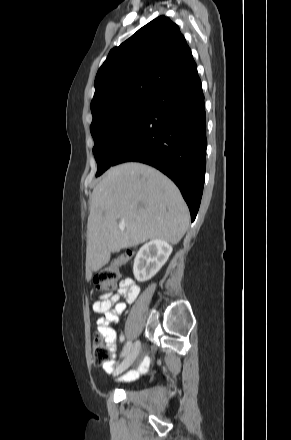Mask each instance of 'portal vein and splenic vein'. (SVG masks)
I'll use <instances>...</instances> for the list:
<instances>
[{
    "label": "portal vein and splenic vein",
    "mask_w": 291,
    "mask_h": 440,
    "mask_svg": "<svg viewBox=\"0 0 291 440\" xmlns=\"http://www.w3.org/2000/svg\"><path fill=\"white\" fill-rule=\"evenodd\" d=\"M118 227H119L120 229H124V228H125V224H124L123 222H120V223L118 224Z\"/></svg>",
    "instance_id": "18ae733b"
}]
</instances>
